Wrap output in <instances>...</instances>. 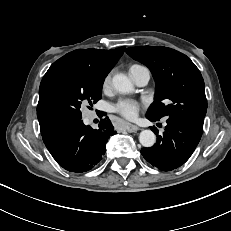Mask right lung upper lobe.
<instances>
[{"mask_svg":"<svg viewBox=\"0 0 231 231\" xmlns=\"http://www.w3.org/2000/svg\"><path fill=\"white\" fill-rule=\"evenodd\" d=\"M124 49L125 47L111 50L78 49L64 55L51 65L43 77L39 89L37 117L39 120L41 133H45L51 128L60 124L49 110L45 98L49 77L60 68L67 65L88 67L96 73L107 76V74L111 71V69L124 53Z\"/></svg>","mask_w":231,"mask_h":231,"instance_id":"obj_1","label":"right lung upper lobe"}]
</instances>
